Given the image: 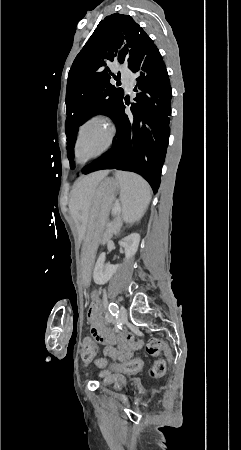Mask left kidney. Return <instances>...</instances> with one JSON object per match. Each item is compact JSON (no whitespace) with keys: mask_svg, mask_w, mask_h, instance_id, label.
<instances>
[{"mask_svg":"<svg viewBox=\"0 0 241 450\" xmlns=\"http://www.w3.org/2000/svg\"><path fill=\"white\" fill-rule=\"evenodd\" d=\"M139 242V234H130V236H126V238H123V240L119 242V246H122L125 250L126 260H129V258H132V256L136 254ZM105 262L106 254L105 252H102L95 264L93 272V280L95 284H100V286H102V284H107L118 268V266H111V264H105Z\"/></svg>","mask_w":241,"mask_h":450,"instance_id":"obj_1","label":"left kidney"}]
</instances>
